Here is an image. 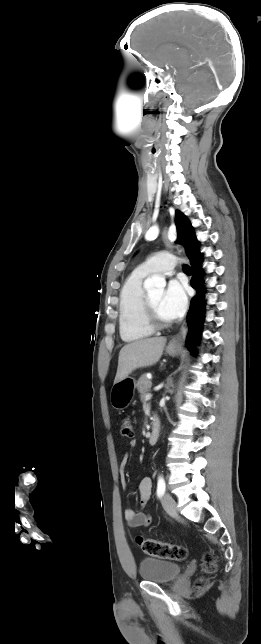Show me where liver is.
<instances>
[{
  "mask_svg": "<svg viewBox=\"0 0 261 644\" xmlns=\"http://www.w3.org/2000/svg\"><path fill=\"white\" fill-rule=\"evenodd\" d=\"M166 341L165 337H155L137 340L123 346L119 352L114 384L136 369L156 364L162 356Z\"/></svg>",
  "mask_w": 261,
  "mask_h": 644,
  "instance_id": "1",
  "label": "liver"
}]
</instances>
